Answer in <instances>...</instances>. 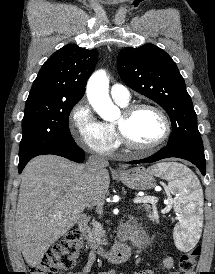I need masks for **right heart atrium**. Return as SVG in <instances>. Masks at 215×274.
I'll use <instances>...</instances> for the list:
<instances>
[{
	"mask_svg": "<svg viewBox=\"0 0 215 274\" xmlns=\"http://www.w3.org/2000/svg\"><path fill=\"white\" fill-rule=\"evenodd\" d=\"M69 129L76 143L90 152L109 156L116 147V139L98 120L86 100H80L72 108Z\"/></svg>",
	"mask_w": 215,
	"mask_h": 274,
	"instance_id": "1",
	"label": "right heart atrium"
}]
</instances>
